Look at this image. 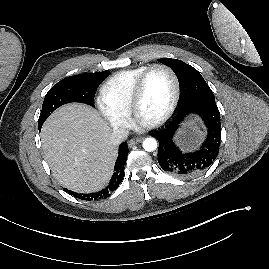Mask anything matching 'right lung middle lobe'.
Here are the masks:
<instances>
[{"instance_id": "1", "label": "right lung middle lobe", "mask_w": 269, "mask_h": 269, "mask_svg": "<svg viewBox=\"0 0 269 269\" xmlns=\"http://www.w3.org/2000/svg\"><path fill=\"white\" fill-rule=\"evenodd\" d=\"M109 71L81 74L67 77L46 94L38 125L42 126L51 112L59 106L70 102H82L94 106V96L100 83L109 75Z\"/></svg>"}]
</instances>
